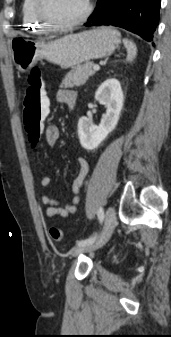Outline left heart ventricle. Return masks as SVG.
<instances>
[{"mask_svg":"<svg viewBox=\"0 0 171 337\" xmlns=\"http://www.w3.org/2000/svg\"><path fill=\"white\" fill-rule=\"evenodd\" d=\"M86 7V0H47L46 12L55 22L63 23L76 19Z\"/></svg>","mask_w":171,"mask_h":337,"instance_id":"1","label":"left heart ventricle"}]
</instances>
